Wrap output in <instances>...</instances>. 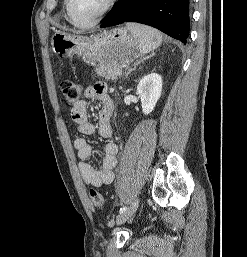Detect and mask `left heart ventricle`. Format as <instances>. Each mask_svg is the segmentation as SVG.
<instances>
[{"label":"left heart ventricle","instance_id":"obj_1","mask_svg":"<svg viewBox=\"0 0 247 257\" xmlns=\"http://www.w3.org/2000/svg\"><path fill=\"white\" fill-rule=\"evenodd\" d=\"M108 0H71L72 17L81 24L91 22L105 7Z\"/></svg>","mask_w":247,"mask_h":257}]
</instances>
